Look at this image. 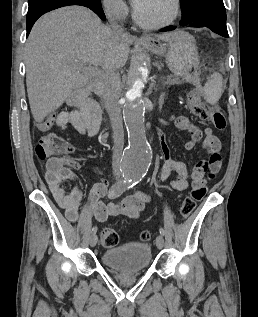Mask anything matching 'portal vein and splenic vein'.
<instances>
[{
  "label": "portal vein and splenic vein",
  "mask_w": 258,
  "mask_h": 317,
  "mask_svg": "<svg viewBox=\"0 0 258 317\" xmlns=\"http://www.w3.org/2000/svg\"><path fill=\"white\" fill-rule=\"evenodd\" d=\"M78 68H80V70H82L83 66H84V62H80V60H75ZM100 68H97V66H88V70L87 72H89V74H98Z\"/></svg>",
  "instance_id": "1"
}]
</instances>
